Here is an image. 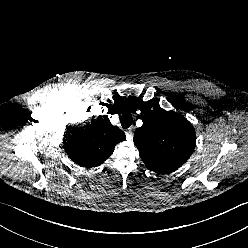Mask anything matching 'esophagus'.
Listing matches in <instances>:
<instances>
[{"mask_svg": "<svg viewBox=\"0 0 248 248\" xmlns=\"http://www.w3.org/2000/svg\"><path fill=\"white\" fill-rule=\"evenodd\" d=\"M134 130H135L134 126H131L130 128L127 129L126 135H127L128 139H132Z\"/></svg>", "mask_w": 248, "mask_h": 248, "instance_id": "obj_1", "label": "esophagus"}]
</instances>
